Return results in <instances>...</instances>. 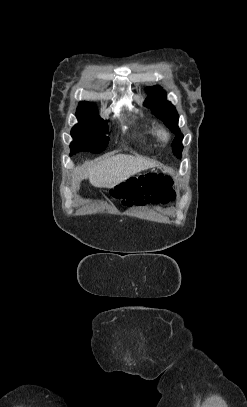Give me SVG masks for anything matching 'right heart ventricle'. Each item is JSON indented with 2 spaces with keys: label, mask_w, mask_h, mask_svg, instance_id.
<instances>
[{
  "label": "right heart ventricle",
  "mask_w": 247,
  "mask_h": 407,
  "mask_svg": "<svg viewBox=\"0 0 247 407\" xmlns=\"http://www.w3.org/2000/svg\"><path fill=\"white\" fill-rule=\"evenodd\" d=\"M157 129L151 125H142L139 128V133L145 141L154 140L156 137Z\"/></svg>",
  "instance_id": "obj_1"
}]
</instances>
